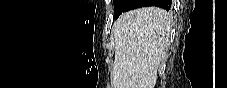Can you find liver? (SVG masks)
<instances>
[{
	"label": "liver",
	"mask_w": 227,
	"mask_h": 88,
	"mask_svg": "<svg viewBox=\"0 0 227 88\" xmlns=\"http://www.w3.org/2000/svg\"><path fill=\"white\" fill-rule=\"evenodd\" d=\"M170 16L159 7L123 13L113 24V88H154L169 46Z\"/></svg>",
	"instance_id": "liver-1"
}]
</instances>
